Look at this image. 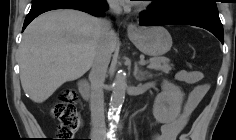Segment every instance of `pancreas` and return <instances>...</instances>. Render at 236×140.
<instances>
[{
	"label": "pancreas",
	"mask_w": 236,
	"mask_h": 140,
	"mask_svg": "<svg viewBox=\"0 0 236 140\" xmlns=\"http://www.w3.org/2000/svg\"><path fill=\"white\" fill-rule=\"evenodd\" d=\"M150 69L160 70L164 73H169L172 69V65L169 64V59L166 57H154L149 59Z\"/></svg>",
	"instance_id": "pancreas-1"
}]
</instances>
